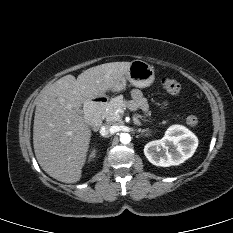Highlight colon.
Segmentation results:
<instances>
[{
  "instance_id": "colon-1",
  "label": "colon",
  "mask_w": 233,
  "mask_h": 233,
  "mask_svg": "<svg viewBox=\"0 0 233 233\" xmlns=\"http://www.w3.org/2000/svg\"><path fill=\"white\" fill-rule=\"evenodd\" d=\"M161 84L170 94H178L181 90L180 83L171 74L164 75ZM186 122L189 126L195 127L198 125L199 119L196 115L192 114L187 117Z\"/></svg>"
}]
</instances>
